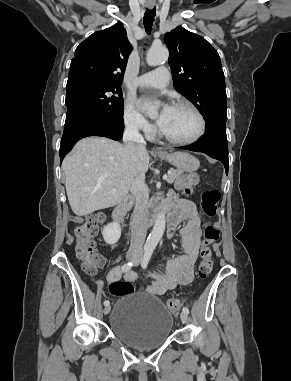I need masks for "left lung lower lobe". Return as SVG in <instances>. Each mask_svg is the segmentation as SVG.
<instances>
[{"mask_svg":"<svg viewBox=\"0 0 291 381\" xmlns=\"http://www.w3.org/2000/svg\"><path fill=\"white\" fill-rule=\"evenodd\" d=\"M181 149L202 152L212 158L220 160L228 174V141L226 129L206 131L204 136L195 144L180 147Z\"/></svg>","mask_w":291,"mask_h":381,"instance_id":"left-lung-lower-lobe-1","label":"left lung lower lobe"}]
</instances>
